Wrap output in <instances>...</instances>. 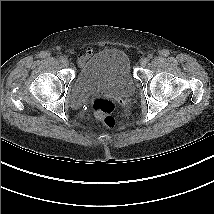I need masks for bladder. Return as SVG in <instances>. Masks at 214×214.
I'll return each instance as SVG.
<instances>
[{"label": "bladder", "mask_w": 214, "mask_h": 214, "mask_svg": "<svg viewBox=\"0 0 214 214\" xmlns=\"http://www.w3.org/2000/svg\"><path fill=\"white\" fill-rule=\"evenodd\" d=\"M135 80L127 55L117 49H105L86 61L72 81L71 102L81 101L96 91H108L119 97L131 94Z\"/></svg>", "instance_id": "1"}]
</instances>
